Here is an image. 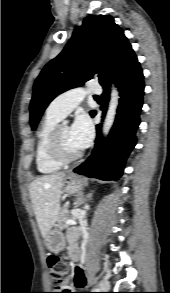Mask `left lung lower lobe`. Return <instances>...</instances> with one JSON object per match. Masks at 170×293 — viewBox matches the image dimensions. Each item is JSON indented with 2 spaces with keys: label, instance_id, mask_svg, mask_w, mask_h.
<instances>
[{
  "label": "left lung lower lobe",
  "instance_id": "0a47b994",
  "mask_svg": "<svg viewBox=\"0 0 170 293\" xmlns=\"http://www.w3.org/2000/svg\"><path fill=\"white\" fill-rule=\"evenodd\" d=\"M110 78H114L120 92V102L115 123L108 138L100 137L101 125H97V140L87 161L74 169L75 173L101 180H116L122 175L125 160L136 144L135 132L140 124L139 113L143 105V73L137 57L130 47L113 66L107 80L101 85L106 113L110 93ZM95 115V112L92 116Z\"/></svg>",
  "mask_w": 170,
  "mask_h": 293
}]
</instances>
